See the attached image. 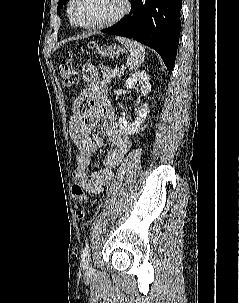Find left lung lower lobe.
Wrapping results in <instances>:
<instances>
[{"instance_id":"left-lung-lower-lobe-1","label":"left lung lower lobe","mask_w":239,"mask_h":303,"mask_svg":"<svg viewBox=\"0 0 239 303\" xmlns=\"http://www.w3.org/2000/svg\"><path fill=\"white\" fill-rule=\"evenodd\" d=\"M130 14L102 32L132 38L153 48L173 69L181 30L182 0H131Z\"/></svg>"}]
</instances>
